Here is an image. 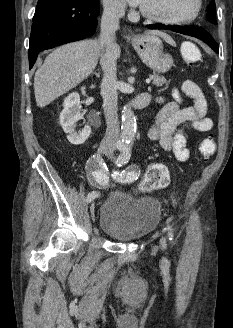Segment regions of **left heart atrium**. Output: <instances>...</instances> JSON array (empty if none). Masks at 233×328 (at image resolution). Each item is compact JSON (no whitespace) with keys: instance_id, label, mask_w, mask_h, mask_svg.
Returning a JSON list of instances; mask_svg holds the SVG:
<instances>
[{"instance_id":"39dd6f15","label":"left heart atrium","mask_w":233,"mask_h":328,"mask_svg":"<svg viewBox=\"0 0 233 328\" xmlns=\"http://www.w3.org/2000/svg\"><path fill=\"white\" fill-rule=\"evenodd\" d=\"M132 6H138L143 3L144 0H127Z\"/></svg>"}]
</instances>
